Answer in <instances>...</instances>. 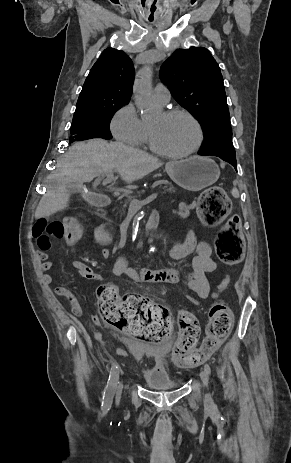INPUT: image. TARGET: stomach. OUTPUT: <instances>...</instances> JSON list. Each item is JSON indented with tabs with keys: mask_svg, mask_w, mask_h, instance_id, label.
<instances>
[{
	"mask_svg": "<svg viewBox=\"0 0 291 463\" xmlns=\"http://www.w3.org/2000/svg\"><path fill=\"white\" fill-rule=\"evenodd\" d=\"M169 177L180 187L200 191L214 184L219 176L218 165L207 157L194 156L166 164Z\"/></svg>",
	"mask_w": 291,
	"mask_h": 463,
	"instance_id": "stomach-1",
	"label": "stomach"
}]
</instances>
